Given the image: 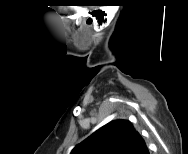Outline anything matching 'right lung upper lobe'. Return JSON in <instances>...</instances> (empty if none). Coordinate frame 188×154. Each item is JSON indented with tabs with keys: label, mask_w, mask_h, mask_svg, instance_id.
<instances>
[{
	"label": "right lung upper lobe",
	"mask_w": 188,
	"mask_h": 154,
	"mask_svg": "<svg viewBox=\"0 0 188 154\" xmlns=\"http://www.w3.org/2000/svg\"><path fill=\"white\" fill-rule=\"evenodd\" d=\"M70 154H149V151L131 122L116 120L98 129Z\"/></svg>",
	"instance_id": "right-lung-upper-lobe-1"
}]
</instances>
